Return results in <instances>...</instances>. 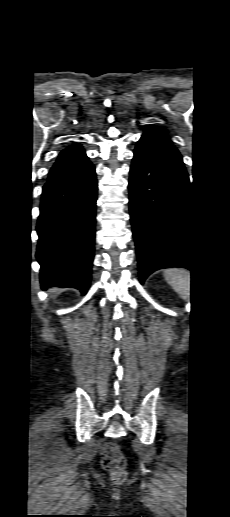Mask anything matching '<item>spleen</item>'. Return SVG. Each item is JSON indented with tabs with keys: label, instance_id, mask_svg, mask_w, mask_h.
Segmentation results:
<instances>
[{
	"label": "spleen",
	"instance_id": "1",
	"mask_svg": "<svg viewBox=\"0 0 230 517\" xmlns=\"http://www.w3.org/2000/svg\"><path fill=\"white\" fill-rule=\"evenodd\" d=\"M164 277L169 285L185 300L190 297V273L184 269H168Z\"/></svg>",
	"mask_w": 230,
	"mask_h": 517
}]
</instances>
